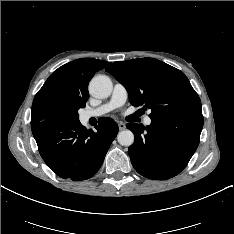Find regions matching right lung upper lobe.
Segmentation results:
<instances>
[{
    "mask_svg": "<svg viewBox=\"0 0 234 234\" xmlns=\"http://www.w3.org/2000/svg\"><path fill=\"white\" fill-rule=\"evenodd\" d=\"M109 62L81 58L55 70L36 94L31 113L32 125L51 119L52 107L61 101L86 100L89 98L88 83L94 73Z\"/></svg>",
    "mask_w": 234,
    "mask_h": 234,
    "instance_id": "right-lung-upper-lobe-1",
    "label": "right lung upper lobe"
}]
</instances>
